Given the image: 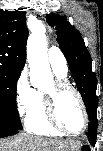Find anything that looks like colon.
Wrapping results in <instances>:
<instances>
[{"label": "colon", "instance_id": "1", "mask_svg": "<svg viewBox=\"0 0 103 151\" xmlns=\"http://www.w3.org/2000/svg\"><path fill=\"white\" fill-rule=\"evenodd\" d=\"M82 151H90L88 147H84Z\"/></svg>", "mask_w": 103, "mask_h": 151}]
</instances>
